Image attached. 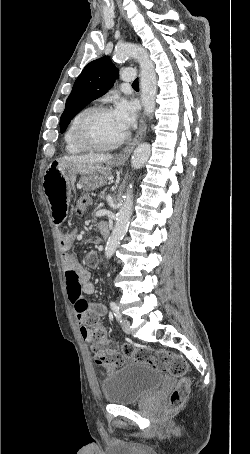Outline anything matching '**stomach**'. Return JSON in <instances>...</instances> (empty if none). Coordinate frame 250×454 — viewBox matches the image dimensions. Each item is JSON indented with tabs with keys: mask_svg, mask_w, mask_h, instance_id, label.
Returning <instances> with one entry per match:
<instances>
[{
	"mask_svg": "<svg viewBox=\"0 0 250 454\" xmlns=\"http://www.w3.org/2000/svg\"><path fill=\"white\" fill-rule=\"evenodd\" d=\"M124 163V159L118 158H113L106 164L96 163L83 166L54 161L47 167L44 176H76L79 174L86 189H96L104 184L106 177L111 173L112 166L118 167Z\"/></svg>",
	"mask_w": 250,
	"mask_h": 454,
	"instance_id": "obj_1",
	"label": "stomach"
}]
</instances>
